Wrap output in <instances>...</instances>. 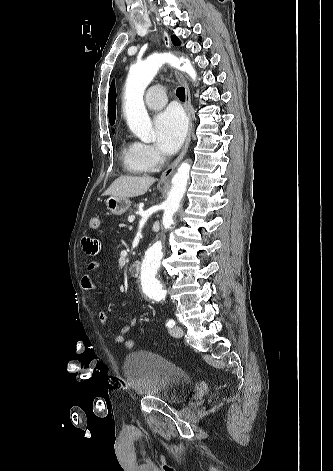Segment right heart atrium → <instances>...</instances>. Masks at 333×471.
Instances as JSON below:
<instances>
[{
	"label": "right heart atrium",
	"mask_w": 333,
	"mask_h": 471,
	"mask_svg": "<svg viewBox=\"0 0 333 471\" xmlns=\"http://www.w3.org/2000/svg\"><path fill=\"white\" fill-rule=\"evenodd\" d=\"M133 149L139 162L150 171L159 168L163 162L162 155L152 145L134 142Z\"/></svg>",
	"instance_id": "obj_1"
}]
</instances>
